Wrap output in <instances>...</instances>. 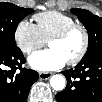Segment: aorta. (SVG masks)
<instances>
[{"mask_svg":"<svg viewBox=\"0 0 102 102\" xmlns=\"http://www.w3.org/2000/svg\"><path fill=\"white\" fill-rule=\"evenodd\" d=\"M66 80L64 76L56 74L50 78V85L56 91H61L65 88Z\"/></svg>","mask_w":102,"mask_h":102,"instance_id":"aorta-1","label":"aorta"}]
</instances>
